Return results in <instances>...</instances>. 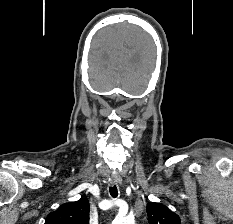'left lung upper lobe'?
<instances>
[{"label":"left lung upper lobe","instance_id":"left-lung-upper-lobe-1","mask_svg":"<svg viewBox=\"0 0 233 224\" xmlns=\"http://www.w3.org/2000/svg\"><path fill=\"white\" fill-rule=\"evenodd\" d=\"M147 214L150 224H181L176 213L159 203L148 202Z\"/></svg>","mask_w":233,"mask_h":224}]
</instances>
